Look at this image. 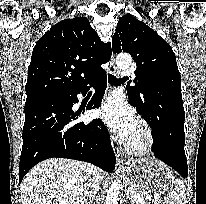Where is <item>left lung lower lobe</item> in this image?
<instances>
[{"label":"left lung lower lobe","mask_w":206,"mask_h":204,"mask_svg":"<svg viewBox=\"0 0 206 204\" xmlns=\"http://www.w3.org/2000/svg\"><path fill=\"white\" fill-rule=\"evenodd\" d=\"M184 108H179L173 114L162 120V128L153 134V151L155 157L171 166L183 178L188 176V166L184 151Z\"/></svg>","instance_id":"left-lung-lower-lobe-1"}]
</instances>
